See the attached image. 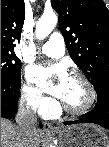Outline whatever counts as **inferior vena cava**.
I'll return each mask as SVG.
<instances>
[{
    "label": "inferior vena cava",
    "instance_id": "inferior-vena-cava-1",
    "mask_svg": "<svg viewBox=\"0 0 109 147\" xmlns=\"http://www.w3.org/2000/svg\"><path fill=\"white\" fill-rule=\"evenodd\" d=\"M16 123L22 134V147H34L33 136L36 131L37 114L36 109L31 105H20Z\"/></svg>",
    "mask_w": 109,
    "mask_h": 147
}]
</instances>
